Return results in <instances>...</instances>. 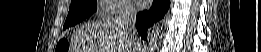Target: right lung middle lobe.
<instances>
[{"label":"right lung middle lobe","instance_id":"dd1d6c3e","mask_svg":"<svg viewBox=\"0 0 261 52\" xmlns=\"http://www.w3.org/2000/svg\"><path fill=\"white\" fill-rule=\"evenodd\" d=\"M97 10L96 0H72L63 29L85 20Z\"/></svg>","mask_w":261,"mask_h":52}]
</instances>
